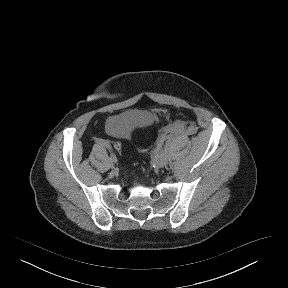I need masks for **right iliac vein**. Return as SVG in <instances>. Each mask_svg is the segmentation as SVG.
Returning a JSON list of instances; mask_svg holds the SVG:
<instances>
[{
  "label": "right iliac vein",
  "mask_w": 288,
  "mask_h": 288,
  "mask_svg": "<svg viewBox=\"0 0 288 288\" xmlns=\"http://www.w3.org/2000/svg\"><path fill=\"white\" fill-rule=\"evenodd\" d=\"M110 167L111 168H114V163L111 161V163H110Z\"/></svg>",
  "instance_id": "obj_1"
}]
</instances>
